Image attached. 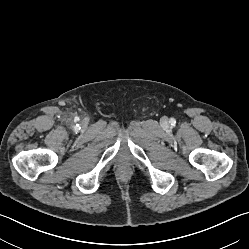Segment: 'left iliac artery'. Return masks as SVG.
Wrapping results in <instances>:
<instances>
[{
  "label": "left iliac artery",
  "mask_w": 249,
  "mask_h": 249,
  "mask_svg": "<svg viewBox=\"0 0 249 249\" xmlns=\"http://www.w3.org/2000/svg\"><path fill=\"white\" fill-rule=\"evenodd\" d=\"M171 122H174V119H171Z\"/></svg>",
  "instance_id": "1"
}]
</instances>
